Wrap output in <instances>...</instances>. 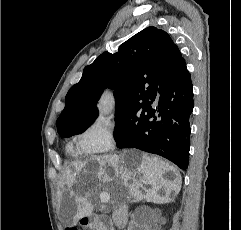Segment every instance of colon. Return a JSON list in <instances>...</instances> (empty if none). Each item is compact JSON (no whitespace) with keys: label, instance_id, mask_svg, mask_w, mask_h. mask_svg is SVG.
<instances>
[{"label":"colon","instance_id":"colon-1","mask_svg":"<svg viewBox=\"0 0 241 230\" xmlns=\"http://www.w3.org/2000/svg\"><path fill=\"white\" fill-rule=\"evenodd\" d=\"M67 230H77V229H75V228H71V229H67Z\"/></svg>","mask_w":241,"mask_h":230}]
</instances>
